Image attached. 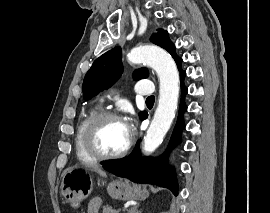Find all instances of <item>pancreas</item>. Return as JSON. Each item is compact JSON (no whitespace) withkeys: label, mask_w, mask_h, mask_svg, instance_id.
Masks as SVG:
<instances>
[{"label":"pancreas","mask_w":270,"mask_h":213,"mask_svg":"<svg viewBox=\"0 0 270 213\" xmlns=\"http://www.w3.org/2000/svg\"><path fill=\"white\" fill-rule=\"evenodd\" d=\"M103 213H118V211L107 205L103 207Z\"/></svg>","instance_id":"1"}]
</instances>
